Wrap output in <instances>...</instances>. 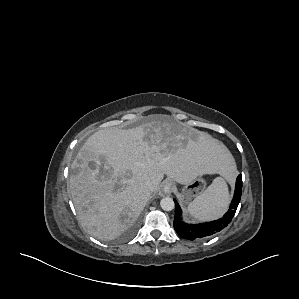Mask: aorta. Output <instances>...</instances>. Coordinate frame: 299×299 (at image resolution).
<instances>
[{
  "mask_svg": "<svg viewBox=\"0 0 299 299\" xmlns=\"http://www.w3.org/2000/svg\"><path fill=\"white\" fill-rule=\"evenodd\" d=\"M160 206L165 211H171L174 209L175 204L172 198L170 197H164L160 201Z\"/></svg>",
  "mask_w": 299,
  "mask_h": 299,
  "instance_id": "obj_1",
  "label": "aorta"
}]
</instances>
